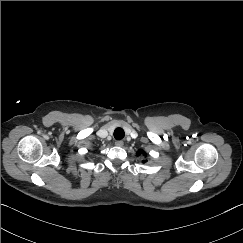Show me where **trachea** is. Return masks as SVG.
<instances>
[{"label":"trachea","mask_w":243,"mask_h":243,"mask_svg":"<svg viewBox=\"0 0 243 243\" xmlns=\"http://www.w3.org/2000/svg\"><path fill=\"white\" fill-rule=\"evenodd\" d=\"M125 136L124 130L122 128H116L114 131V138L116 140H121Z\"/></svg>","instance_id":"trachea-1"}]
</instances>
